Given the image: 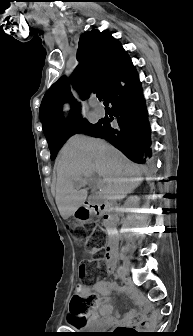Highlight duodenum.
<instances>
[{
    "mask_svg": "<svg viewBox=\"0 0 193 336\" xmlns=\"http://www.w3.org/2000/svg\"><path fill=\"white\" fill-rule=\"evenodd\" d=\"M91 210L96 216L102 217L107 222H111L115 218L116 207L110 202H102L91 205ZM115 241L116 233L112 227L109 229V240L106 246V261L110 264L115 262Z\"/></svg>",
    "mask_w": 193,
    "mask_h": 336,
    "instance_id": "1",
    "label": "duodenum"
}]
</instances>
